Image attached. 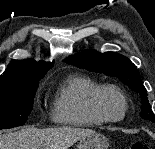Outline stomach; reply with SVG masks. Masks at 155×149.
<instances>
[{
	"mask_svg": "<svg viewBox=\"0 0 155 149\" xmlns=\"http://www.w3.org/2000/svg\"><path fill=\"white\" fill-rule=\"evenodd\" d=\"M108 139L100 133H90L82 137L77 149H108Z\"/></svg>",
	"mask_w": 155,
	"mask_h": 149,
	"instance_id": "1",
	"label": "stomach"
}]
</instances>
